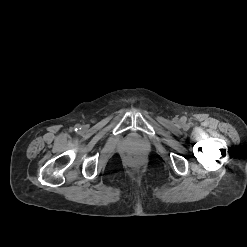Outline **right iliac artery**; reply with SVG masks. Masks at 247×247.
Instances as JSON below:
<instances>
[{"instance_id":"obj_1","label":"right iliac artery","mask_w":247,"mask_h":247,"mask_svg":"<svg viewBox=\"0 0 247 247\" xmlns=\"http://www.w3.org/2000/svg\"><path fill=\"white\" fill-rule=\"evenodd\" d=\"M79 129H80V125L77 124V125L75 126V131H77V130H79Z\"/></svg>"}]
</instances>
